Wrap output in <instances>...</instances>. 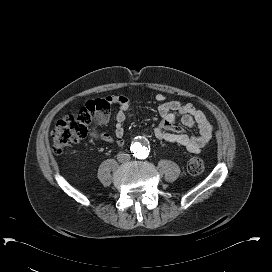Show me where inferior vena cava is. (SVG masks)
<instances>
[{
	"label": "inferior vena cava",
	"instance_id": "inferior-vena-cava-1",
	"mask_svg": "<svg viewBox=\"0 0 272 272\" xmlns=\"http://www.w3.org/2000/svg\"><path fill=\"white\" fill-rule=\"evenodd\" d=\"M117 160L120 163L128 162L130 160V155L128 153H125V152H119L117 154Z\"/></svg>",
	"mask_w": 272,
	"mask_h": 272
}]
</instances>
